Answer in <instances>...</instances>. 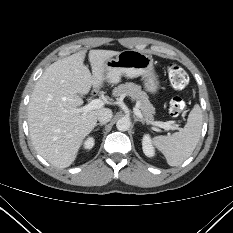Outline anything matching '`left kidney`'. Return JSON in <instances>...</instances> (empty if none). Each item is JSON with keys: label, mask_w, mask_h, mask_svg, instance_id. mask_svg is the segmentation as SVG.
I'll return each mask as SVG.
<instances>
[{"label": "left kidney", "mask_w": 233, "mask_h": 233, "mask_svg": "<svg viewBox=\"0 0 233 233\" xmlns=\"http://www.w3.org/2000/svg\"><path fill=\"white\" fill-rule=\"evenodd\" d=\"M142 149L146 156L153 157L155 155V150L151 142L149 135H144L142 139Z\"/></svg>", "instance_id": "1"}]
</instances>
